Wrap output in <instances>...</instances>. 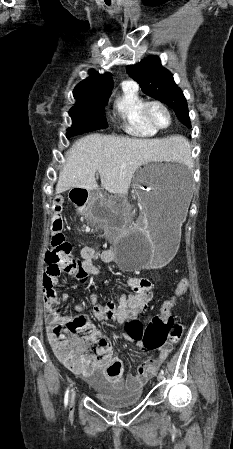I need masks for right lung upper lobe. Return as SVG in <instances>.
I'll use <instances>...</instances> for the list:
<instances>
[{
  "label": "right lung upper lobe",
  "instance_id": "1",
  "mask_svg": "<svg viewBox=\"0 0 233 449\" xmlns=\"http://www.w3.org/2000/svg\"><path fill=\"white\" fill-rule=\"evenodd\" d=\"M90 77L84 79L73 90L76 99H83L91 96L111 94L113 89V79L109 72L104 75L90 70Z\"/></svg>",
  "mask_w": 233,
  "mask_h": 449
}]
</instances>
